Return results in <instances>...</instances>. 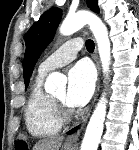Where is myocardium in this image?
<instances>
[{
  "instance_id": "f54148a6",
  "label": "myocardium",
  "mask_w": 139,
  "mask_h": 150,
  "mask_svg": "<svg viewBox=\"0 0 139 150\" xmlns=\"http://www.w3.org/2000/svg\"><path fill=\"white\" fill-rule=\"evenodd\" d=\"M51 99L58 119L62 123L68 122L71 119V115H72V111L70 107L65 102H62L56 99L55 97L51 96Z\"/></svg>"
}]
</instances>
